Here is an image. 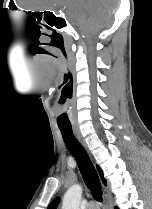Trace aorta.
Masks as SVG:
<instances>
[{
    "mask_svg": "<svg viewBox=\"0 0 152 209\" xmlns=\"http://www.w3.org/2000/svg\"><path fill=\"white\" fill-rule=\"evenodd\" d=\"M82 187L79 184L71 186L63 197L62 209H79Z\"/></svg>",
    "mask_w": 152,
    "mask_h": 209,
    "instance_id": "1",
    "label": "aorta"
}]
</instances>
